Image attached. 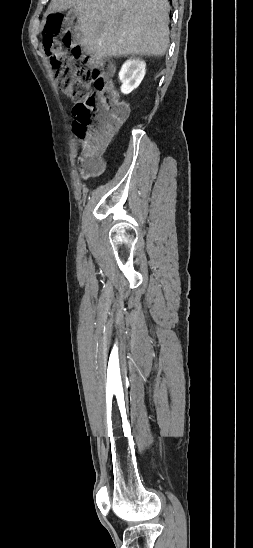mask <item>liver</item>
<instances>
[{
    "label": "liver",
    "instance_id": "obj_1",
    "mask_svg": "<svg viewBox=\"0 0 253 548\" xmlns=\"http://www.w3.org/2000/svg\"><path fill=\"white\" fill-rule=\"evenodd\" d=\"M71 7L80 43L95 57L162 56L168 49V0H51L47 14Z\"/></svg>",
    "mask_w": 253,
    "mask_h": 548
}]
</instances>
